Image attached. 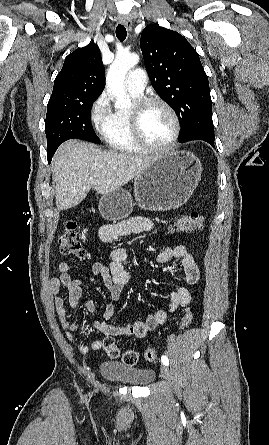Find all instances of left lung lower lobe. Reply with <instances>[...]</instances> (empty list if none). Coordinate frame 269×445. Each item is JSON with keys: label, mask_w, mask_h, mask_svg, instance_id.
<instances>
[{"label": "left lung lower lobe", "mask_w": 269, "mask_h": 445, "mask_svg": "<svg viewBox=\"0 0 269 445\" xmlns=\"http://www.w3.org/2000/svg\"><path fill=\"white\" fill-rule=\"evenodd\" d=\"M203 141H206L207 143H209L212 147H214V138L213 137H205L203 139H200Z\"/></svg>", "instance_id": "0a47b994"}]
</instances>
